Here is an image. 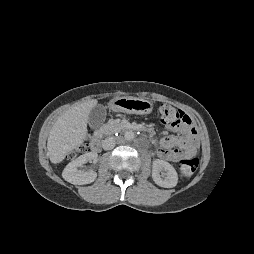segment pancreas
<instances>
[{"instance_id":"pancreas-1","label":"pancreas","mask_w":254,"mask_h":254,"mask_svg":"<svg viewBox=\"0 0 254 254\" xmlns=\"http://www.w3.org/2000/svg\"><path fill=\"white\" fill-rule=\"evenodd\" d=\"M108 126L111 127L114 131H118L121 129V124L116 120H110L108 122Z\"/></svg>"}]
</instances>
